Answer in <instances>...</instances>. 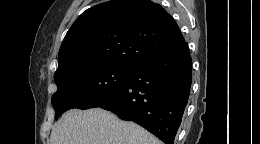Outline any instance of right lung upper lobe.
Listing matches in <instances>:
<instances>
[{
	"mask_svg": "<svg viewBox=\"0 0 260 144\" xmlns=\"http://www.w3.org/2000/svg\"><path fill=\"white\" fill-rule=\"evenodd\" d=\"M185 42L164 8L150 0H113L83 12L67 32L54 76L93 66L132 67Z\"/></svg>",
	"mask_w": 260,
	"mask_h": 144,
	"instance_id": "cb5924a9",
	"label": "right lung upper lobe"
}]
</instances>
